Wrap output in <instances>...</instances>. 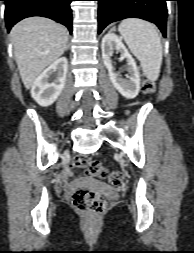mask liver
I'll list each match as a JSON object with an SVG mask.
<instances>
[{"instance_id": "1", "label": "liver", "mask_w": 194, "mask_h": 253, "mask_svg": "<svg viewBox=\"0 0 194 253\" xmlns=\"http://www.w3.org/2000/svg\"><path fill=\"white\" fill-rule=\"evenodd\" d=\"M22 82L29 89L40 73L66 50L65 27L44 17H30L17 23L10 33Z\"/></svg>"}]
</instances>
